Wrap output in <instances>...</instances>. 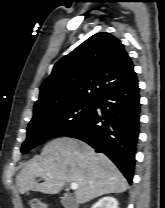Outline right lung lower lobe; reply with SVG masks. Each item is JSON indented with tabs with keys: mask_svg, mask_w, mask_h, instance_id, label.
Returning <instances> with one entry per match:
<instances>
[{
	"mask_svg": "<svg viewBox=\"0 0 165 208\" xmlns=\"http://www.w3.org/2000/svg\"><path fill=\"white\" fill-rule=\"evenodd\" d=\"M139 88L134 73L102 95L89 118L67 136L80 139L106 154L132 183L139 134ZM101 109L102 115L97 111Z\"/></svg>",
	"mask_w": 165,
	"mask_h": 208,
	"instance_id": "obj_1",
	"label": "right lung lower lobe"
}]
</instances>
